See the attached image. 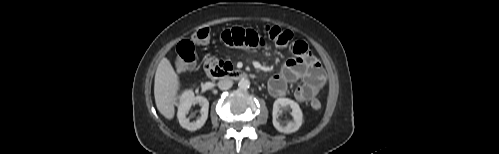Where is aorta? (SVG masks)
Returning <instances> with one entry per match:
<instances>
[{"label": "aorta", "instance_id": "obj_1", "mask_svg": "<svg viewBox=\"0 0 499 154\" xmlns=\"http://www.w3.org/2000/svg\"><path fill=\"white\" fill-rule=\"evenodd\" d=\"M238 87L242 90H246L250 87V81L248 79H241L238 83Z\"/></svg>", "mask_w": 499, "mask_h": 154}]
</instances>
